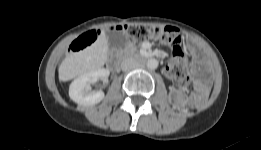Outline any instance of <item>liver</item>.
<instances>
[{"label": "liver", "mask_w": 261, "mask_h": 150, "mask_svg": "<svg viewBox=\"0 0 261 150\" xmlns=\"http://www.w3.org/2000/svg\"><path fill=\"white\" fill-rule=\"evenodd\" d=\"M108 41L104 33L82 52L66 56L59 67V80L69 78L72 72L83 74L101 68L107 61Z\"/></svg>", "instance_id": "obj_1"}]
</instances>
